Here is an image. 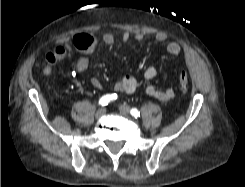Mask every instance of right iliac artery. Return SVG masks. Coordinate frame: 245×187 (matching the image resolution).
Instances as JSON below:
<instances>
[{"label": "right iliac artery", "instance_id": "82829eb1", "mask_svg": "<svg viewBox=\"0 0 245 187\" xmlns=\"http://www.w3.org/2000/svg\"><path fill=\"white\" fill-rule=\"evenodd\" d=\"M117 99V94H107V95H104L100 100H99V104L101 106H105L107 105L109 102H112L114 100Z\"/></svg>", "mask_w": 245, "mask_h": 187}]
</instances>
